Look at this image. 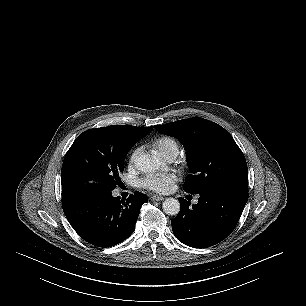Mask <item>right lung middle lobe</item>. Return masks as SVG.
<instances>
[{
  "label": "right lung middle lobe",
  "instance_id": "obj_1",
  "mask_svg": "<svg viewBox=\"0 0 306 306\" xmlns=\"http://www.w3.org/2000/svg\"><path fill=\"white\" fill-rule=\"evenodd\" d=\"M136 142L116 140L102 134L79 135L62 165L63 205L110 193L121 181L124 160Z\"/></svg>",
  "mask_w": 306,
  "mask_h": 306
}]
</instances>
